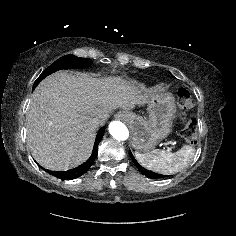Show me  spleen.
I'll return each instance as SVG.
<instances>
[{
  "label": "spleen",
  "instance_id": "3e777b00",
  "mask_svg": "<svg viewBox=\"0 0 236 236\" xmlns=\"http://www.w3.org/2000/svg\"><path fill=\"white\" fill-rule=\"evenodd\" d=\"M194 155L195 148L189 145H183L175 153L159 149L145 154L135 152L137 160L143 167L161 174L179 172L191 162Z\"/></svg>",
  "mask_w": 236,
  "mask_h": 236
}]
</instances>
